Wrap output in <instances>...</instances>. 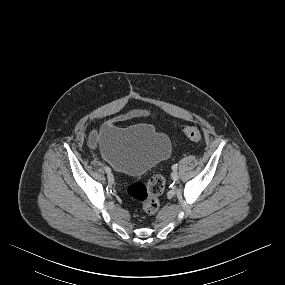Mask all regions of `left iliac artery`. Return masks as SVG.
Here are the masks:
<instances>
[{
	"mask_svg": "<svg viewBox=\"0 0 285 285\" xmlns=\"http://www.w3.org/2000/svg\"><path fill=\"white\" fill-rule=\"evenodd\" d=\"M177 168H178V165H177V164H174V165L172 166V169H173V170H177Z\"/></svg>",
	"mask_w": 285,
	"mask_h": 285,
	"instance_id": "1",
	"label": "left iliac artery"
}]
</instances>
